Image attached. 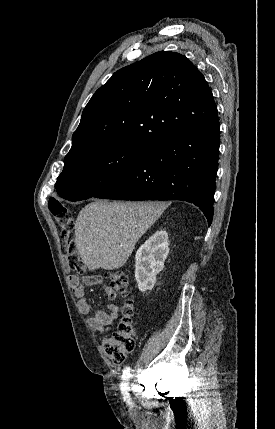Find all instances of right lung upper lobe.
<instances>
[{"instance_id": "obj_1", "label": "right lung upper lobe", "mask_w": 275, "mask_h": 429, "mask_svg": "<svg viewBox=\"0 0 275 429\" xmlns=\"http://www.w3.org/2000/svg\"><path fill=\"white\" fill-rule=\"evenodd\" d=\"M218 119L200 71L176 52H156L126 66L86 105L64 163L116 145L151 147L162 138Z\"/></svg>"}]
</instances>
